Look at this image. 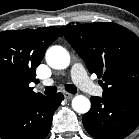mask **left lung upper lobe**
Returning <instances> with one entry per match:
<instances>
[{"label": "left lung upper lobe", "instance_id": "obj_1", "mask_svg": "<svg viewBox=\"0 0 139 139\" xmlns=\"http://www.w3.org/2000/svg\"><path fill=\"white\" fill-rule=\"evenodd\" d=\"M67 41L102 80L104 98L139 91V38L115 24L95 22L61 27Z\"/></svg>", "mask_w": 139, "mask_h": 139}]
</instances>
